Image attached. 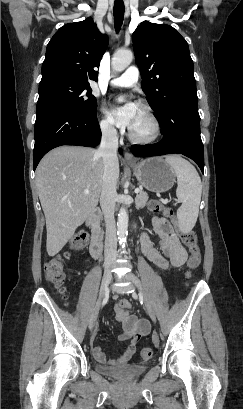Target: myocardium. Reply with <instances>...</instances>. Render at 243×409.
Instances as JSON below:
<instances>
[{
	"label": "myocardium",
	"mask_w": 243,
	"mask_h": 409,
	"mask_svg": "<svg viewBox=\"0 0 243 409\" xmlns=\"http://www.w3.org/2000/svg\"><path fill=\"white\" fill-rule=\"evenodd\" d=\"M137 106L141 107L144 109V111L147 114V117L151 123V133L148 136H138L135 135L130 129L128 131V137L129 139L134 142V143H139V144H150L155 142L156 140L159 139L161 135V124L154 113L153 109L151 106L144 102V101H139L137 102Z\"/></svg>",
	"instance_id": "obj_1"
}]
</instances>
